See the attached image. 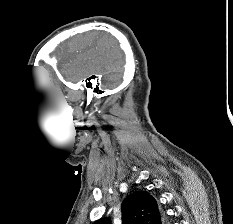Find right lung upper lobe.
Returning a JSON list of instances; mask_svg holds the SVG:
<instances>
[{
    "label": "right lung upper lobe",
    "mask_w": 233,
    "mask_h": 224,
    "mask_svg": "<svg viewBox=\"0 0 233 224\" xmlns=\"http://www.w3.org/2000/svg\"><path fill=\"white\" fill-rule=\"evenodd\" d=\"M94 224H110V219L102 218ZM122 224H165V218L149 193L137 191L122 203Z\"/></svg>",
    "instance_id": "obj_1"
}]
</instances>
